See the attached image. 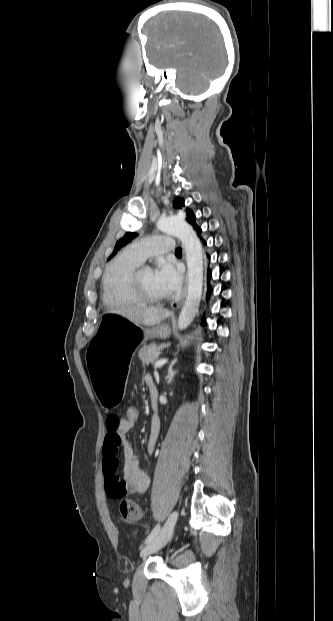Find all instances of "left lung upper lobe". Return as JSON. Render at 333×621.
I'll return each mask as SVG.
<instances>
[{
	"label": "left lung upper lobe",
	"mask_w": 333,
	"mask_h": 621,
	"mask_svg": "<svg viewBox=\"0 0 333 621\" xmlns=\"http://www.w3.org/2000/svg\"><path fill=\"white\" fill-rule=\"evenodd\" d=\"M173 206L174 208H181L184 206V199L183 198H177L174 200L173 202ZM186 220L189 224H191L193 226V228L195 229L197 226L196 221H195V215L193 213V211L189 208H186ZM138 234L135 232H127L124 237H122L120 240H118L115 244L114 247V251L113 253L110 255V257L108 258L111 259L123 246H125L127 243H129L132 239H134Z\"/></svg>",
	"instance_id": "5c2ea615"
}]
</instances>
